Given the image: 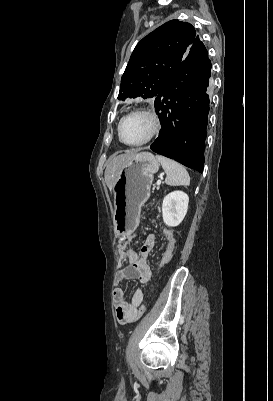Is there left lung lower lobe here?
Wrapping results in <instances>:
<instances>
[{
	"mask_svg": "<svg viewBox=\"0 0 273 401\" xmlns=\"http://www.w3.org/2000/svg\"><path fill=\"white\" fill-rule=\"evenodd\" d=\"M210 76L208 52L198 37L154 101L162 129L151 150L199 172L204 166Z\"/></svg>",
	"mask_w": 273,
	"mask_h": 401,
	"instance_id": "obj_1",
	"label": "left lung lower lobe"
}]
</instances>
